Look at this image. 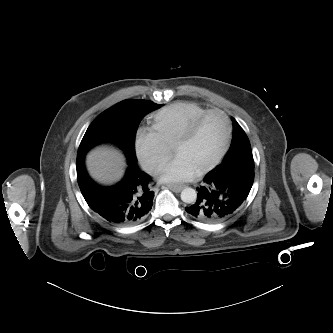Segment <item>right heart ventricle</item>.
<instances>
[{
  "mask_svg": "<svg viewBox=\"0 0 333 333\" xmlns=\"http://www.w3.org/2000/svg\"><path fill=\"white\" fill-rule=\"evenodd\" d=\"M206 111L205 108L193 102H176L154 114L152 128L168 145H172L178 135Z\"/></svg>",
  "mask_w": 333,
  "mask_h": 333,
  "instance_id": "obj_1",
  "label": "right heart ventricle"
}]
</instances>
